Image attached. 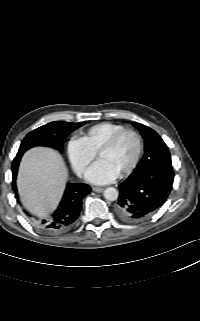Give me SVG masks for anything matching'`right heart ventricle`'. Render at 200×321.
<instances>
[{"label":"right heart ventricle","instance_id":"e07e8e85","mask_svg":"<svg viewBox=\"0 0 200 321\" xmlns=\"http://www.w3.org/2000/svg\"><path fill=\"white\" fill-rule=\"evenodd\" d=\"M124 128L123 124L100 122L90 126L81 138L96 153L110 137Z\"/></svg>","mask_w":200,"mask_h":321}]
</instances>
